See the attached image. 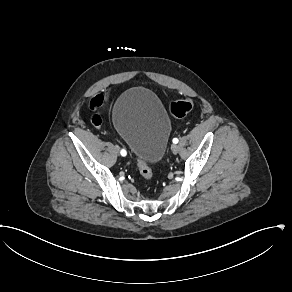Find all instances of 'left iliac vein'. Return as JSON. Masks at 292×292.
Here are the masks:
<instances>
[{"instance_id":"left-iliac-vein-1","label":"left iliac vein","mask_w":292,"mask_h":292,"mask_svg":"<svg viewBox=\"0 0 292 292\" xmlns=\"http://www.w3.org/2000/svg\"><path fill=\"white\" fill-rule=\"evenodd\" d=\"M178 151H179V146H178V145H173V146H172V152H173L174 154H177Z\"/></svg>"}]
</instances>
